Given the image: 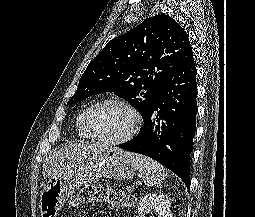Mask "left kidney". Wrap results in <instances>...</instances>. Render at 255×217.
<instances>
[{
    "mask_svg": "<svg viewBox=\"0 0 255 217\" xmlns=\"http://www.w3.org/2000/svg\"><path fill=\"white\" fill-rule=\"evenodd\" d=\"M154 210L158 217H171L170 200L165 194H147L138 204V215L136 217H145V214Z\"/></svg>",
    "mask_w": 255,
    "mask_h": 217,
    "instance_id": "left-kidney-1",
    "label": "left kidney"
}]
</instances>
